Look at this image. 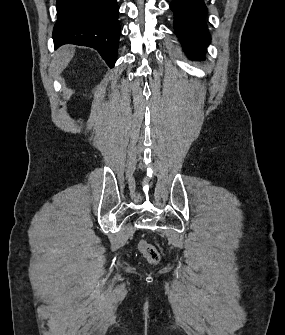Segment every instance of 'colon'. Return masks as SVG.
Returning a JSON list of instances; mask_svg holds the SVG:
<instances>
[{
  "mask_svg": "<svg viewBox=\"0 0 285 335\" xmlns=\"http://www.w3.org/2000/svg\"><path fill=\"white\" fill-rule=\"evenodd\" d=\"M138 249L150 264H156L159 262L160 253L157 247L153 244L145 240H141L138 243Z\"/></svg>",
  "mask_w": 285,
  "mask_h": 335,
  "instance_id": "5ec220e1",
  "label": "colon"
}]
</instances>
